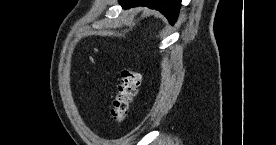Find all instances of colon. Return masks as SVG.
Segmentation results:
<instances>
[{
	"label": "colon",
	"instance_id": "colon-1",
	"mask_svg": "<svg viewBox=\"0 0 276 145\" xmlns=\"http://www.w3.org/2000/svg\"><path fill=\"white\" fill-rule=\"evenodd\" d=\"M140 75L130 69L120 72V80L110 110V120L114 124L122 123L129 112L130 104L137 93Z\"/></svg>",
	"mask_w": 276,
	"mask_h": 145
}]
</instances>
